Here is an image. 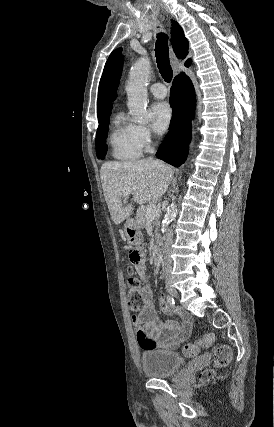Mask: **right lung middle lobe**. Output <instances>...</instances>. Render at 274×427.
Masks as SVG:
<instances>
[{
    "instance_id": "right-lung-middle-lobe-1",
    "label": "right lung middle lobe",
    "mask_w": 274,
    "mask_h": 427,
    "mask_svg": "<svg viewBox=\"0 0 274 427\" xmlns=\"http://www.w3.org/2000/svg\"><path fill=\"white\" fill-rule=\"evenodd\" d=\"M111 108L97 113L99 126L96 134V153L98 159H104L107 151L106 137L108 133V120L111 114Z\"/></svg>"
}]
</instances>
